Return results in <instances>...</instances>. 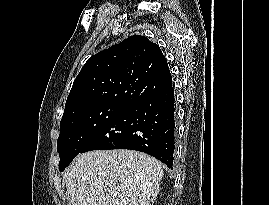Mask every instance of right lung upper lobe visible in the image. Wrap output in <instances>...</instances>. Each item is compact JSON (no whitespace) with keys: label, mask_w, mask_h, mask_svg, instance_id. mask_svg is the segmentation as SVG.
Instances as JSON below:
<instances>
[{"label":"right lung upper lobe","mask_w":269,"mask_h":205,"mask_svg":"<svg viewBox=\"0 0 269 205\" xmlns=\"http://www.w3.org/2000/svg\"><path fill=\"white\" fill-rule=\"evenodd\" d=\"M170 87L171 73L159 46L134 35L87 60L74 80L63 117L97 103L131 105Z\"/></svg>","instance_id":"right-lung-upper-lobe-1"}]
</instances>
